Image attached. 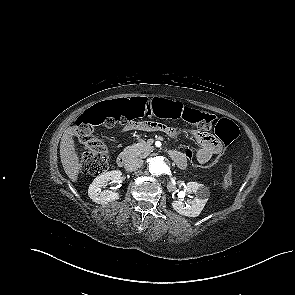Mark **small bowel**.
<instances>
[{
	"instance_id": "obj_1",
	"label": "small bowel",
	"mask_w": 295,
	"mask_h": 295,
	"mask_svg": "<svg viewBox=\"0 0 295 295\" xmlns=\"http://www.w3.org/2000/svg\"><path fill=\"white\" fill-rule=\"evenodd\" d=\"M125 131H154L160 130L153 122H133L129 123L124 127ZM169 133L171 136L188 135L192 137L199 145V149L195 154V158L202 163L208 162L213 156H215L221 149L222 143L212 134L207 132H196V131H182V130H171L165 128L163 130ZM183 157V163L177 164L179 167L184 168L187 165V157L178 152Z\"/></svg>"
}]
</instances>
